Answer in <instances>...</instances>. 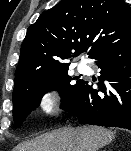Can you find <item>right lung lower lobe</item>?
I'll return each mask as SVG.
<instances>
[{"label":"right lung lower lobe","mask_w":131,"mask_h":151,"mask_svg":"<svg viewBox=\"0 0 131 151\" xmlns=\"http://www.w3.org/2000/svg\"><path fill=\"white\" fill-rule=\"evenodd\" d=\"M90 58L101 69L99 89L82 80L63 107L91 125L131 130V32L97 49Z\"/></svg>","instance_id":"obj_1"}]
</instances>
